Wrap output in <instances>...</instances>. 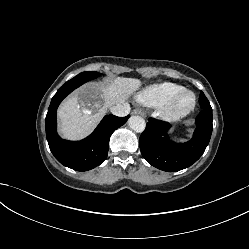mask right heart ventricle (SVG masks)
Masks as SVG:
<instances>
[{
    "instance_id": "obj_1",
    "label": "right heart ventricle",
    "mask_w": 249,
    "mask_h": 249,
    "mask_svg": "<svg viewBox=\"0 0 249 249\" xmlns=\"http://www.w3.org/2000/svg\"><path fill=\"white\" fill-rule=\"evenodd\" d=\"M182 89V86L172 82L152 84L138 94L137 100L139 103L149 107H162Z\"/></svg>"
}]
</instances>
